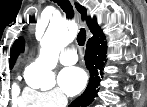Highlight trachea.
<instances>
[{
    "mask_svg": "<svg viewBox=\"0 0 147 107\" xmlns=\"http://www.w3.org/2000/svg\"><path fill=\"white\" fill-rule=\"evenodd\" d=\"M55 3L65 12L68 18L74 17V10L69 0H54ZM86 42V32L84 28H81L77 35V43L80 47H83Z\"/></svg>",
    "mask_w": 147,
    "mask_h": 107,
    "instance_id": "obj_1",
    "label": "trachea"
}]
</instances>
